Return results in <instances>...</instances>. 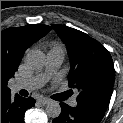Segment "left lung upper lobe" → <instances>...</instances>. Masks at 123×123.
I'll return each instance as SVG.
<instances>
[{"label":"left lung upper lobe","mask_w":123,"mask_h":123,"mask_svg":"<svg viewBox=\"0 0 123 123\" xmlns=\"http://www.w3.org/2000/svg\"><path fill=\"white\" fill-rule=\"evenodd\" d=\"M52 26L69 50V86L79 91L77 105L104 114L110 102L115 77L109 51L86 33L65 25Z\"/></svg>","instance_id":"obj_1"}]
</instances>
